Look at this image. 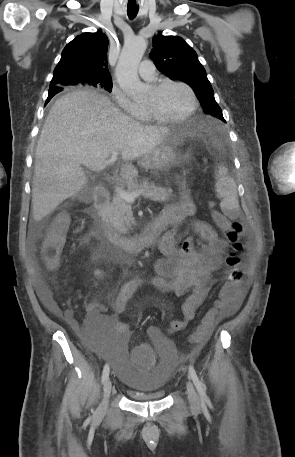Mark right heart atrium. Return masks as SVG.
Returning <instances> with one entry per match:
<instances>
[{
  "label": "right heart atrium",
  "mask_w": 295,
  "mask_h": 457,
  "mask_svg": "<svg viewBox=\"0 0 295 457\" xmlns=\"http://www.w3.org/2000/svg\"><path fill=\"white\" fill-rule=\"evenodd\" d=\"M111 95L115 103L127 114L136 118L140 116L141 106L133 102L119 86L113 85Z\"/></svg>",
  "instance_id": "obj_1"
}]
</instances>
